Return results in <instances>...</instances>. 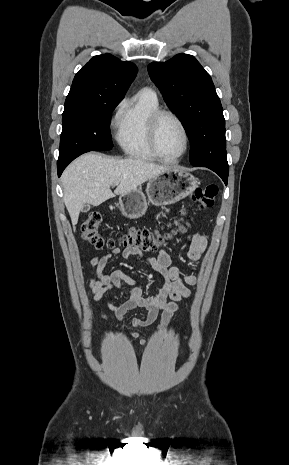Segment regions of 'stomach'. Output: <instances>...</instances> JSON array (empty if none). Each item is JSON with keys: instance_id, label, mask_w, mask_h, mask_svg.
Returning <instances> with one entry per match:
<instances>
[{"instance_id": "obj_1", "label": "stomach", "mask_w": 289, "mask_h": 465, "mask_svg": "<svg viewBox=\"0 0 289 465\" xmlns=\"http://www.w3.org/2000/svg\"><path fill=\"white\" fill-rule=\"evenodd\" d=\"M199 185L196 177L176 167L148 180L146 194L135 189L119 197L121 213L129 219L142 217L148 205L165 206L178 202L190 195Z\"/></svg>"}]
</instances>
